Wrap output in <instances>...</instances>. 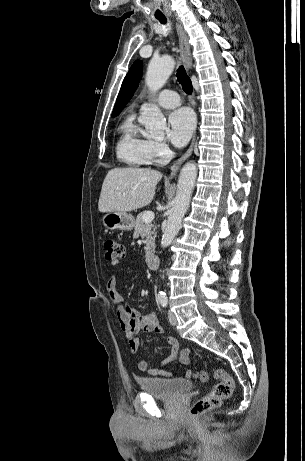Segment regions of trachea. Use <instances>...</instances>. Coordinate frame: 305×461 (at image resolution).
Returning <instances> with one entry per match:
<instances>
[{
  "instance_id": "obj_1",
  "label": "trachea",
  "mask_w": 305,
  "mask_h": 461,
  "mask_svg": "<svg viewBox=\"0 0 305 461\" xmlns=\"http://www.w3.org/2000/svg\"><path fill=\"white\" fill-rule=\"evenodd\" d=\"M162 24H166V18H157ZM177 80L182 85V88L185 93L191 94L193 91V86L190 78L187 76L186 71L183 66H180L177 70Z\"/></svg>"
}]
</instances>
